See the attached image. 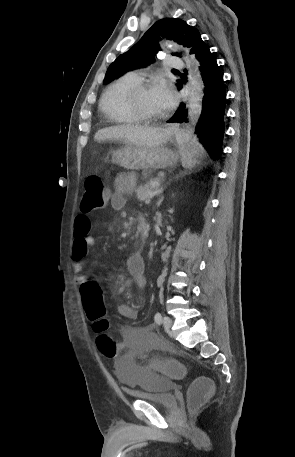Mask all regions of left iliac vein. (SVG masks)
I'll list each match as a JSON object with an SVG mask.
<instances>
[{"instance_id":"1","label":"left iliac vein","mask_w":295,"mask_h":457,"mask_svg":"<svg viewBox=\"0 0 295 457\" xmlns=\"http://www.w3.org/2000/svg\"><path fill=\"white\" fill-rule=\"evenodd\" d=\"M163 326H164L165 330L170 331L171 326H172V319L168 316H165L163 318Z\"/></svg>"}]
</instances>
